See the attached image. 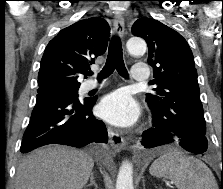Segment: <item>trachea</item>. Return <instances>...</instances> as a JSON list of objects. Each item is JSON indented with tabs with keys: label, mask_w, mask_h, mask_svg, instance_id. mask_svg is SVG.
<instances>
[{
	"label": "trachea",
	"mask_w": 223,
	"mask_h": 189,
	"mask_svg": "<svg viewBox=\"0 0 223 189\" xmlns=\"http://www.w3.org/2000/svg\"><path fill=\"white\" fill-rule=\"evenodd\" d=\"M114 70H117V72L121 76L126 78L128 77V73L123 60L122 44L117 36H114L111 39L106 64L99 74V79L108 77L114 72ZM91 74L92 73L89 72L87 75L90 76Z\"/></svg>",
	"instance_id": "3493384b"
}]
</instances>
